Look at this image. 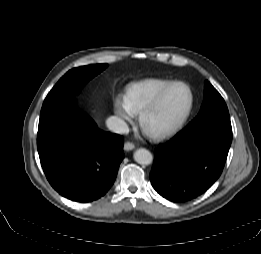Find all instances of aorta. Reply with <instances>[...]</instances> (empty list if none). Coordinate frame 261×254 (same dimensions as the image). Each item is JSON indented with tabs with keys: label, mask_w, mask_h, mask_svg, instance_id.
Returning <instances> with one entry per match:
<instances>
[{
	"label": "aorta",
	"mask_w": 261,
	"mask_h": 254,
	"mask_svg": "<svg viewBox=\"0 0 261 254\" xmlns=\"http://www.w3.org/2000/svg\"><path fill=\"white\" fill-rule=\"evenodd\" d=\"M134 160L138 164L149 165L153 161V155L149 150L141 148L134 152Z\"/></svg>",
	"instance_id": "obj_1"
}]
</instances>
